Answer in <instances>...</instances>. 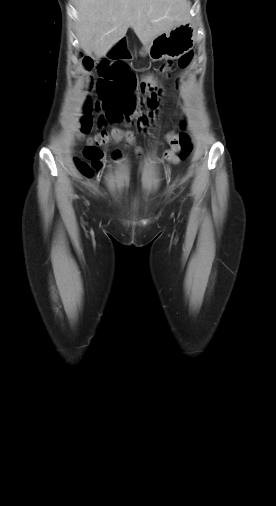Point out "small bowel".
Instances as JSON below:
<instances>
[{"instance_id":"c3829d8e","label":"small bowel","mask_w":276,"mask_h":506,"mask_svg":"<svg viewBox=\"0 0 276 506\" xmlns=\"http://www.w3.org/2000/svg\"><path fill=\"white\" fill-rule=\"evenodd\" d=\"M144 79H145V81H149V82H151V83L155 84V80H154V78H153L152 76H150V75H146V76L144 77Z\"/></svg>"}]
</instances>
